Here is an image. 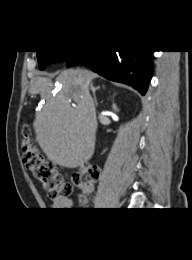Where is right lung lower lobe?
Wrapping results in <instances>:
<instances>
[{
  "label": "right lung lower lobe",
  "mask_w": 192,
  "mask_h": 260,
  "mask_svg": "<svg viewBox=\"0 0 192 260\" xmlns=\"http://www.w3.org/2000/svg\"><path fill=\"white\" fill-rule=\"evenodd\" d=\"M151 53L152 51H76L66 60V65L89 66L103 77L126 83L144 95L152 77Z\"/></svg>",
  "instance_id": "1"
}]
</instances>
